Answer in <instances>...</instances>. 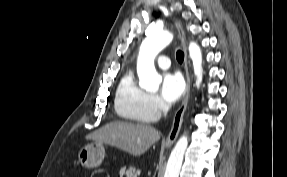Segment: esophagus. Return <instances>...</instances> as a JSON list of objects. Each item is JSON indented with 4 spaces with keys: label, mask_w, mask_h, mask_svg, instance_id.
<instances>
[{
    "label": "esophagus",
    "mask_w": 287,
    "mask_h": 177,
    "mask_svg": "<svg viewBox=\"0 0 287 177\" xmlns=\"http://www.w3.org/2000/svg\"><path fill=\"white\" fill-rule=\"evenodd\" d=\"M175 26L178 30V35H179V38L181 40L184 54H185L186 90H185L184 100L174 115V120H173V125L171 128V131L168 134L167 138L164 140L165 145L173 144L179 135V132H180V129L182 126V122H183V116H184V113H185L186 108H187V104H188V100H189L190 87H191V78H190V74L188 71L189 60H188L187 47H186V41H185V34H184L183 28H182L180 23L175 22Z\"/></svg>",
    "instance_id": "1"
}]
</instances>
